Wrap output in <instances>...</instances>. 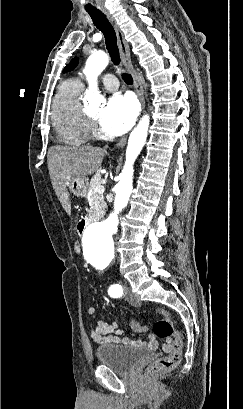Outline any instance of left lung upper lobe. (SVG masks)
<instances>
[{
    "label": "left lung upper lobe",
    "mask_w": 243,
    "mask_h": 409,
    "mask_svg": "<svg viewBox=\"0 0 243 409\" xmlns=\"http://www.w3.org/2000/svg\"><path fill=\"white\" fill-rule=\"evenodd\" d=\"M77 62H78V59H77V58H74V59L70 62V64H68V65L64 68V72L74 69V68L76 67V65H77Z\"/></svg>",
    "instance_id": "left-lung-upper-lobe-1"
}]
</instances>
